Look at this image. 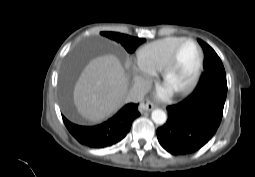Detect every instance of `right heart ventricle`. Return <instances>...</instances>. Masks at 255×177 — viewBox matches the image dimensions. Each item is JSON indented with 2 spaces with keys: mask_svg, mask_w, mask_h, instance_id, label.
I'll use <instances>...</instances> for the list:
<instances>
[{
  "mask_svg": "<svg viewBox=\"0 0 255 177\" xmlns=\"http://www.w3.org/2000/svg\"><path fill=\"white\" fill-rule=\"evenodd\" d=\"M183 37H167L145 45L138 57L149 67L160 70L170 58L175 47L183 41Z\"/></svg>",
  "mask_w": 255,
  "mask_h": 177,
  "instance_id": "e07e8e85",
  "label": "right heart ventricle"
}]
</instances>
